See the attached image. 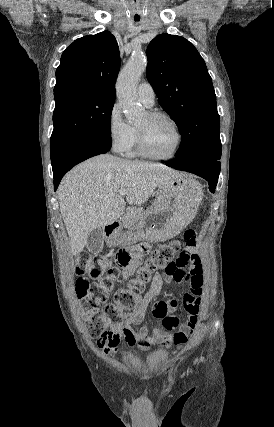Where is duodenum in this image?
<instances>
[{
    "label": "duodenum",
    "instance_id": "410a0bca",
    "mask_svg": "<svg viewBox=\"0 0 274 427\" xmlns=\"http://www.w3.org/2000/svg\"><path fill=\"white\" fill-rule=\"evenodd\" d=\"M118 228L117 222H112L105 227L106 235H112Z\"/></svg>",
    "mask_w": 274,
    "mask_h": 427
}]
</instances>
